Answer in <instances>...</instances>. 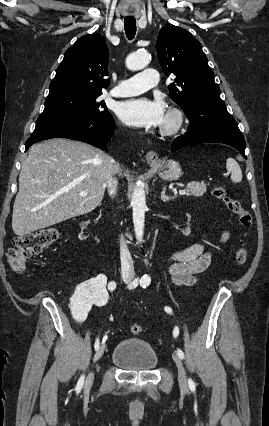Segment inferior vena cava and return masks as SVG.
Listing matches in <instances>:
<instances>
[{
	"instance_id": "inferior-vena-cava-1",
	"label": "inferior vena cava",
	"mask_w": 269,
	"mask_h": 426,
	"mask_svg": "<svg viewBox=\"0 0 269 426\" xmlns=\"http://www.w3.org/2000/svg\"><path fill=\"white\" fill-rule=\"evenodd\" d=\"M117 166L118 165L113 161V168H117ZM117 184H118V181L114 177V173H111L107 182L108 193L111 197H113L116 194ZM120 258H121L122 275L132 276L134 273L133 260L127 248L126 242L122 236L120 238Z\"/></svg>"
}]
</instances>
